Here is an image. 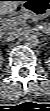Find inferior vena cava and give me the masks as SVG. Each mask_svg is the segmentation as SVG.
<instances>
[{
  "mask_svg": "<svg viewBox=\"0 0 50 111\" xmlns=\"http://www.w3.org/2000/svg\"><path fill=\"white\" fill-rule=\"evenodd\" d=\"M20 36V31L14 29V30H10L8 32H5L3 34V39L6 42H10V41H14L15 39H17Z\"/></svg>",
  "mask_w": 50,
  "mask_h": 111,
  "instance_id": "obj_1",
  "label": "inferior vena cava"
}]
</instances>
